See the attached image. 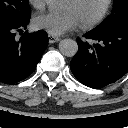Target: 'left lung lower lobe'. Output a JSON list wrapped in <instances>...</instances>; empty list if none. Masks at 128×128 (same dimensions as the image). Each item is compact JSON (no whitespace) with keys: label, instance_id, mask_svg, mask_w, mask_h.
Instances as JSON below:
<instances>
[{"label":"left lung lower lobe","instance_id":"0a47b994","mask_svg":"<svg viewBox=\"0 0 128 128\" xmlns=\"http://www.w3.org/2000/svg\"><path fill=\"white\" fill-rule=\"evenodd\" d=\"M94 44L77 39L78 52L70 62L73 75L84 85L99 89L128 72V23L84 35Z\"/></svg>","mask_w":128,"mask_h":128}]
</instances>
